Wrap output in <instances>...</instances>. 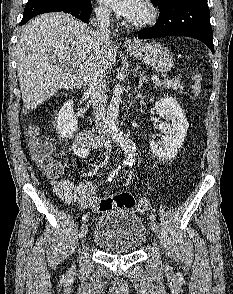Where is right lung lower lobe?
<instances>
[{"label": "right lung lower lobe", "mask_w": 233, "mask_h": 294, "mask_svg": "<svg viewBox=\"0 0 233 294\" xmlns=\"http://www.w3.org/2000/svg\"><path fill=\"white\" fill-rule=\"evenodd\" d=\"M60 12L71 14L75 16L76 18L80 19L81 21L87 22L92 13L91 0L83 1L72 8L61 10ZM21 24H24V23L21 22Z\"/></svg>", "instance_id": "right-lung-lower-lobe-1"}]
</instances>
